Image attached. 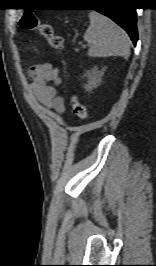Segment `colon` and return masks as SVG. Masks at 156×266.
<instances>
[{
	"label": "colon",
	"instance_id": "obj_1",
	"mask_svg": "<svg viewBox=\"0 0 156 266\" xmlns=\"http://www.w3.org/2000/svg\"><path fill=\"white\" fill-rule=\"evenodd\" d=\"M19 24L25 30H36L40 36L45 38L51 47L56 50L64 48V39L62 36L55 33L52 25L41 21L33 12L27 11L20 18ZM70 104L73 113L80 120H86L88 117L86 107L80 102L76 95H71Z\"/></svg>",
	"mask_w": 156,
	"mask_h": 266
}]
</instances>
